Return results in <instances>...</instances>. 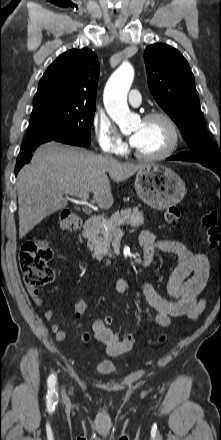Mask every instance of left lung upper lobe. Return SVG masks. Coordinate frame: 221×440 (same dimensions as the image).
<instances>
[{
	"mask_svg": "<svg viewBox=\"0 0 221 440\" xmlns=\"http://www.w3.org/2000/svg\"><path fill=\"white\" fill-rule=\"evenodd\" d=\"M144 61L150 92L191 149L178 155L184 161L221 169V152H217L205 127L194 75L186 59L173 47L157 43L146 48Z\"/></svg>",
	"mask_w": 221,
	"mask_h": 440,
	"instance_id": "5c2ea615",
	"label": "left lung upper lobe"
}]
</instances>
